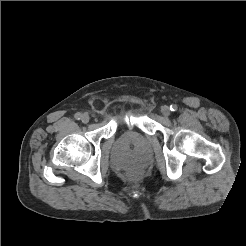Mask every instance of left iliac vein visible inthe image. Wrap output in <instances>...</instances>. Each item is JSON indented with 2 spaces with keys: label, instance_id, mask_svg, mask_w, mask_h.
I'll list each match as a JSON object with an SVG mask.
<instances>
[{
  "label": "left iliac vein",
  "instance_id": "4c4485c4",
  "mask_svg": "<svg viewBox=\"0 0 246 246\" xmlns=\"http://www.w3.org/2000/svg\"><path fill=\"white\" fill-rule=\"evenodd\" d=\"M161 112L166 117L169 116L170 113H171L170 112V108L168 106H166V105H164V106L161 107Z\"/></svg>",
  "mask_w": 246,
  "mask_h": 246
}]
</instances>
